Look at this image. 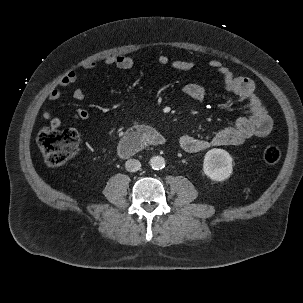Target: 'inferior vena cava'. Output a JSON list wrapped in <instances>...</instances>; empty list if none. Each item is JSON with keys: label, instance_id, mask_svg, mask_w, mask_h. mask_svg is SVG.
<instances>
[{"label": "inferior vena cava", "instance_id": "1", "mask_svg": "<svg viewBox=\"0 0 303 303\" xmlns=\"http://www.w3.org/2000/svg\"><path fill=\"white\" fill-rule=\"evenodd\" d=\"M141 163L136 159H129L125 163V168L129 172H136L140 169Z\"/></svg>", "mask_w": 303, "mask_h": 303}]
</instances>
